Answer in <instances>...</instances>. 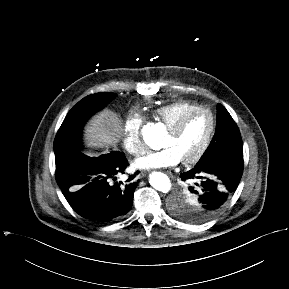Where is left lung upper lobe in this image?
Here are the masks:
<instances>
[{
  "label": "left lung upper lobe",
  "instance_id": "1",
  "mask_svg": "<svg viewBox=\"0 0 289 289\" xmlns=\"http://www.w3.org/2000/svg\"><path fill=\"white\" fill-rule=\"evenodd\" d=\"M243 159V144L240 131L229 112L217 105L215 135L195 166H203L221 159ZM171 212L177 218L190 223L208 221L198 214V206L190 189L179 191L171 202Z\"/></svg>",
  "mask_w": 289,
  "mask_h": 289
}]
</instances>
